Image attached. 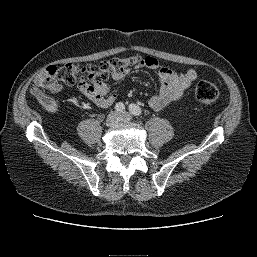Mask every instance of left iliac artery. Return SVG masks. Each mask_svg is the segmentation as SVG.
Here are the masks:
<instances>
[{"instance_id":"44dca946","label":"left iliac artery","mask_w":257,"mask_h":257,"mask_svg":"<svg viewBox=\"0 0 257 257\" xmlns=\"http://www.w3.org/2000/svg\"><path fill=\"white\" fill-rule=\"evenodd\" d=\"M129 111L135 116H140L142 114L141 108L135 104L129 105Z\"/></svg>"}]
</instances>
